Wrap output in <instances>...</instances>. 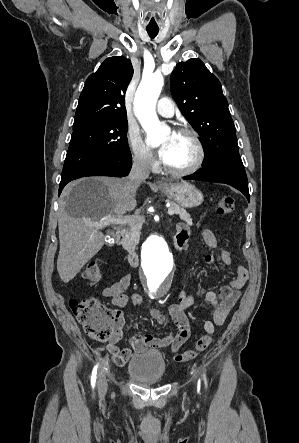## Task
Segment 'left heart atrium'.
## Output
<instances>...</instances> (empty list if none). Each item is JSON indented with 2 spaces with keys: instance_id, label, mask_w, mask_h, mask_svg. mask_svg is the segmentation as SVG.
<instances>
[{
  "instance_id": "1",
  "label": "left heart atrium",
  "mask_w": 299,
  "mask_h": 443,
  "mask_svg": "<svg viewBox=\"0 0 299 443\" xmlns=\"http://www.w3.org/2000/svg\"><path fill=\"white\" fill-rule=\"evenodd\" d=\"M175 134V133H173ZM159 157L163 160L166 154V146H161L158 150Z\"/></svg>"
}]
</instances>
